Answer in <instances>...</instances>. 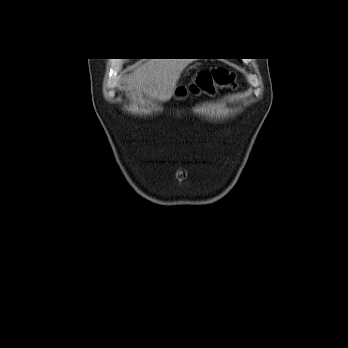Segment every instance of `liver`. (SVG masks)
Here are the masks:
<instances>
[{"label": "liver", "mask_w": 348, "mask_h": 348, "mask_svg": "<svg viewBox=\"0 0 348 348\" xmlns=\"http://www.w3.org/2000/svg\"><path fill=\"white\" fill-rule=\"evenodd\" d=\"M193 59H149L130 73L126 90L160 102L171 99L182 71Z\"/></svg>", "instance_id": "6515ba94"}]
</instances>
